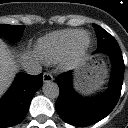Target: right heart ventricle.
Returning a JSON list of instances; mask_svg holds the SVG:
<instances>
[{
    "label": "right heart ventricle",
    "mask_w": 128,
    "mask_h": 128,
    "mask_svg": "<svg viewBox=\"0 0 128 128\" xmlns=\"http://www.w3.org/2000/svg\"><path fill=\"white\" fill-rule=\"evenodd\" d=\"M78 32V30L58 31L40 38L35 46L37 57L46 63L60 60L67 53L69 43Z\"/></svg>",
    "instance_id": "1"
}]
</instances>
